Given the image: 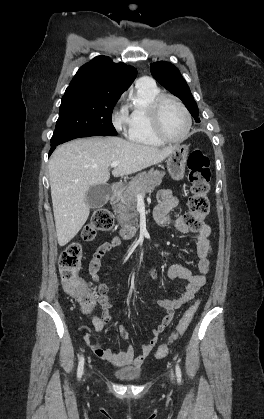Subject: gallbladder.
Wrapping results in <instances>:
<instances>
[{
    "label": "gallbladder",
    "mask_w": 264,
    "mask_h": 419,
    "mask_svg": "<svg viewBox=\"0 0 264 419\" xmlns=\"http://www.w3.org/2000/svg\"><path fill=\"white\" fill-rule=\"evenodd\" d=\"M110 192V186L107 184L91 186L86 195V202L91 208L101 207L106 204Z\"/></svg>",
    "instance_id": "gallbladder-1"
}]
</instances>
